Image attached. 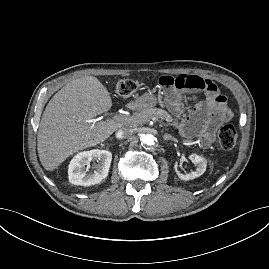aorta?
Listing matches in <instances>:
<instances>
[{"mask_svg": "<svg viewBox=\"0 0 269 269\" xmlns=\"http://www.w3.org/2000/svg\"><path fill=\"white\" fill-rule=\"evenodd\" d=\"M140 140L142 144L152 146L155 144L156 137L153 134H143Z\"/></svg>", "mask_w": 269, "mask_h": 269, "instance_id": "obj_1", "label": "aorta"}]
</instances>
